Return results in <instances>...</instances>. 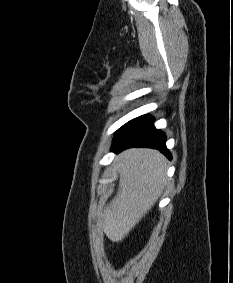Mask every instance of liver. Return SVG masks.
<instances>
[{
	"label": "liver",
	"mask_w": 233,
	"mask_h": 283,
	"mask_svg": "<svg viewBox=\"0 0 233 283\" xmlns=\"http://www.w3.org/2000/svg\"><path fill=\"white\" fill-rule=\"evenodd\" d=\"M116 196L98 215L97 225L113 242L122 241L161 196L168 178L166 158L149 148H131L115 158Z\"/></svg>",
	"instance_id": "liver-1"
}]
</instances>
